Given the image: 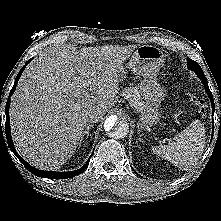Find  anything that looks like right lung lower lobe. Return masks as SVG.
<instances>
[{"label":"right lung lower lobe","mask_w":221,"mask_h":221,"mask_svg":"<svg viewBox=\"0 0 221 221\" xmlns=\"http://www.w3.org/2000/svg\"><path fill=\"white\" fill-rule=\"evenodd\" d=\"M31 61V59L29 61L26 62L25 65H27L29 62ZM25 66H23L20 70V72L18 73L13 88L10 91L7 103H6V108H5V113H6V123H5V133H6V139H7V143L8 146L10 148V150L16 155V157L24 164V166L26 167V169L28 171H30L32 174L38 176V177H44V178H50V179H65V178H70L76 175H79L80 173H82L89 165V161L90 158L87 160L86 164L81 167L78 170L75 171H70V172H56V171H42V170H38L36 168H33L32 166H30L26 161H24L19 154L16 152L12 139H11V134H10V123H9V105H10V96L12 95V93L14 92L18 80L20 78V75L22 74V72L24 71ZM1 127V125H0ZM93 155V153H92ZM92 155L90 157H92Z\"/></svg>","instance_id":"obj_1"}]
</instances>
